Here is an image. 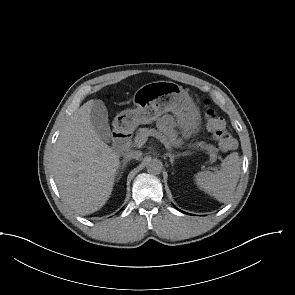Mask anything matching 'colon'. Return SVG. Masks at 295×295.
<instances>
[{
	"label": "colon",
	"mask_w": 295,
	"mask_h": 295,
	"mask_svg": "<svg viewBox=\"0 0 295 295\" xmlns=\"http://www.w3.org/2000/svg\"><path fill=\"white\" fill-rule=\"evenodd\" d=\"M206 106L205 121L208 129L213 133L218 145L222 150H232L236 147V141L226 129L224 119L211 107L209 101L204 102Z\"/></svg>",
	"instance_id": "1"
}]
</instances>
